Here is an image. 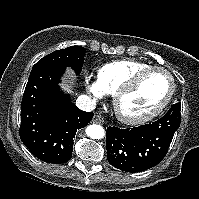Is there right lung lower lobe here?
I'll return each instance as SVG.
<instances>
[{
    "label": "right lung lower lobe",
    "instance_id": "right-lung-lower-lobe-1",
    "mask_svg": "<svg viewBox=\"0 0 199 199\" xmlns=\"http://www.w3.org/2000/svg\"><path fill=\"white\" fill-rule=\"evenodd\" d=\"M64 66L32 70L21 103L20 139L38 159L64 163L72 157L76 131L85 127L93 112L77 108L58 83Z\"/></svg>",
    "mask_w": 199,
    "mask_h": 199
}]
</instances>
